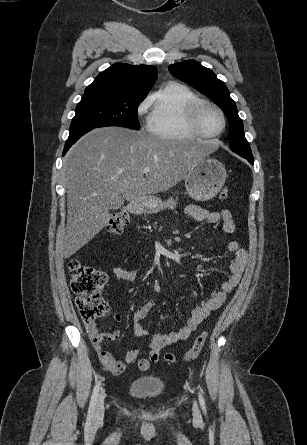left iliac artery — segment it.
<instances>
[{
  "instance_id": "left-iliac-artery-1",
  "label": "left iliac artery",
  "mask_w": 307,
  "mask_h": 445,
  "mask_svg": "<svg viewBox=\"0 0 307 445\" xmlns=\"http://www.w3.org/2000/svg\"><path fill=\"white\" fill-rule=\"evenodd\" d=\"M199 401H200V405H201V408H202V410L204 411V413L206 414V404H205V400H204V398H203V396H202V394L199 392Z\"/></svg>"
}]
</instances>
